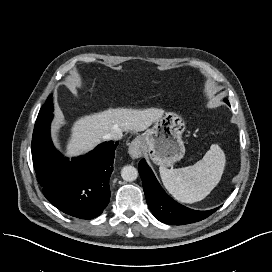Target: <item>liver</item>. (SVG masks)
Masks as SVG:
<instances>
[{
  "instance_id": "obj_1",
  "label": "liver",
  "mask_w": 272,
  "mask_h": 272,
  "mask_svg": "<svg viewBox=\"0 0 272 272\" xmlns=\"http://www.w3.org/2000/svg\"><path fill=\"white\" fill-rule=\"evenodd\" d=\"M162 109L108 108L74 121L65 154L75 157L94 149L114 128L121 131H144L162 114Z\"/></svg>"
}]
</instances>
